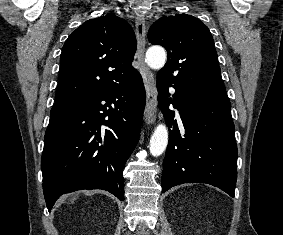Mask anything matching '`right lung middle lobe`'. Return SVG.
Listing matches in <instances>:
<instances>
[{"mask_svg":"<svg viewBox=\"0 0 283 235\" xmlns=\"http://www.w3.org/2000/svg\"><path fill=\"white\" fill-rule=\"evenodd\" d=\"M68 104H54V106L51 109V115L50 116H55L59 113H61L62 111L65 110V108L67 107Z\"/></svg>","mask_w":283,"mask_h":235,"instance_id":"obj_1","label":"right lung middle lobe"}]
</instances>
